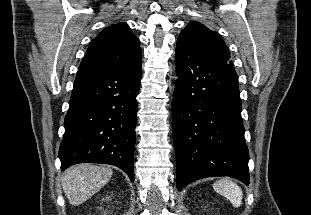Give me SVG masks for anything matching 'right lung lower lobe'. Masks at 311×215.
<instances>
[{"mask_svg": "<svg viewBox=\"0 0 311 215\" xmlns=\"http://www.w3.org/2000/svg\"><path fill=\"white\" fill-rule=\"evenodd\" d=\"M141 78V64L130 70H78L59 149L62 171L82 162L110 164L134 180L136 97Z\"/></svg>", "mask_w": 311, "mask_h": 215, "instance_id": "right-lung-lower-lobe-1", "label": "right lung lower lobe"}]
</instances>
